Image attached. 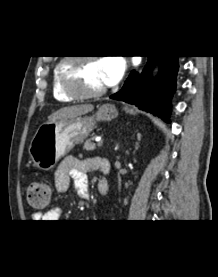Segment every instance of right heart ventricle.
Masks as SVG:
<instances>
[{
	"label": "right heart ventricle",
	"mask_w": 218,
	"mask_h": 277,
	"mask_svg": "<svg viewBox=\"0 0 218 277\" xmlns=\"http://www.w3.org/2000/svg\"><path fill=\"white\" fill-rule=\"evenodd\" d=\"M57 65L56 64L52 71V94L53 97L60 102H71L73 98L66 95L60 88L58 74H57Z\"/></svg>",
	"instance_id": "right-heart-ventricle-1"
}]
</instances>
